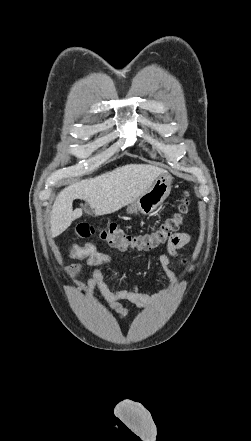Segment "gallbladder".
Returning a JSON list of instances; mask_svg holds the SVG:
<instances>
[{
	"label": "gallbladder",
	"mask_w": 251,
	"mask_h": 441,
	"mask_svg": "<svg viewBox=\"0 0 251 441\" xmlns=\"http://www.w3.org/2000/svg\"><path fill=\"white\" fill-rule=\"evenodd\" d=\"M82 210L86 213V214H92L93 210L92 208L88 205L85 204L82 206Z\"/></svg>",
	"instance_id": "gallbladder-1"
}]
</instances>
